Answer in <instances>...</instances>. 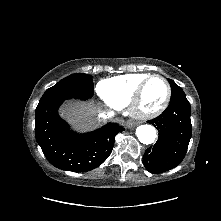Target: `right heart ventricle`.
<instances>
[{
  "label": "right heart ventricle",
  "mask_w": 221,
  "mask_h": 221,
  "mask_svg": "<svg viewBox=\"0 0 221 221\" xmlns=\"http://www.w3.org/2000/svg\"><path fill=\"white\" fill-rule=\"evenodd\" d=\"M149 74H124L104 79L99 82L97 90L101 98L110 107L122 109L129 105L136 89Z\"/></svg>",
  "instance_id": "e07e8e85"
}]
</instances>
